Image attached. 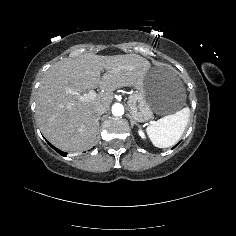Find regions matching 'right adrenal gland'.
Wrapping results in <instances>:
<instances>
[{"label": "right adrenal gland", "mask_w": 236, "mask_h": 236, "mask_svg": "<svg viewBox=\"0 0 236 236\" xmlns=\"http://www.w3.org/2000/svg\"><path fill=\"white\" fill-rule=\"evenodd\" d=\"M99 129H100V124H97V137L99 136Z\"/></svg>", "instance_id": "obj_1"}]
</instances>
